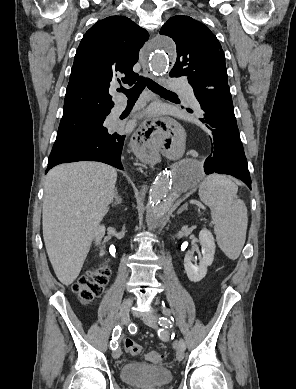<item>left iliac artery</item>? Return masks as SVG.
<instances>
[{"mask_svg":"<svg viewBox=\"0 0 296 389\" xmlns=\"http://www.w3.org/2000/svg\"><path fill=\"white\" fill-rule=\"evenodd\" d=\"M159 324H160V326H163V327H166V328L172 327V323L170 322V320H167V319H165L164 317H160V318H159ZM160 335H163L162 330L159 331V336H160ZM178 345H180V346L183 347L184 349H185V347H186L185 342H184L183 339H180V340H179Z\"/></svg>","mask_w":296,"mask_h":389,"instance_id":"left-iliac-artery-1","label":"left iliac artery"}]
</instances>
